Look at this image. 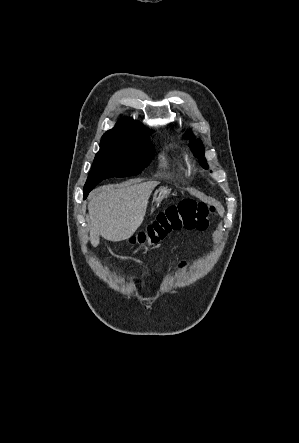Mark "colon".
I'll return each instance as SVG.
<instances>
[{"instance_id": "colon-1", "label": "colon", "mask_w": 299, "mask_h": 443, "mask_svg": "<svg viewBox=\"0 0 299 443\" xmlns=\"http://www.w3.org/2000/svg\"><path fill=\"white\" fill-rule=\"evenodd\" d=\"M214 207L204 202L185 199L160 212L144 230L133 234L129 242L140 249L155 245L172 231L181 229L202 230L208 227Z\"/></svg>"}]
</instances>
